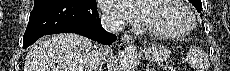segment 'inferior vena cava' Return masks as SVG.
I'll use <instances>...</instances> for the list:
<instances>
[{
    "label": "inferior vena cava",
    "mask_w": 230,
    "mask_h": 71,
    "mask_svg": "<svg viewBox=\"0 0 230 71\" xmlns=\"http://www.w3.org/2000/svg\"><path fill=\"white\" fill-rule=\"evenodd\" d=\"M101 24L103 28L111 33H117L122 31L123 24L113 18L105 15L101 16ZM104 55L97 45L93 47L92 52L86 59L85 71H101L104 64Z\"/></svg>",
    "instance_id": "1"
}]
</instances>
